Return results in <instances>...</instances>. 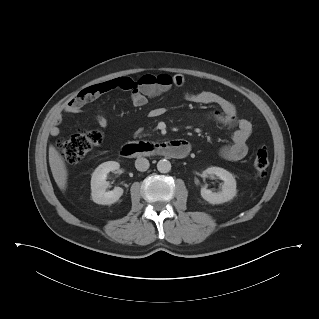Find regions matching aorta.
Returning <instances> with one entry per match:
<instances>
[{"instance_id": "aorta-1", "label": "aorta", "mask_w": 319, "mask_h": 319, "mask_svg": "<svg viewBox=\"0 0 319 319\" xmlns=\"http://www.w3.org/2000/svg\"><path fill=\"white\" fill-rule=\"evenodd\" d=\"M157 169L160 173H168L171 170V163L166 159H161L157 163Z\"/></svg>"}]
</instances>
